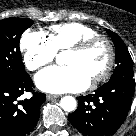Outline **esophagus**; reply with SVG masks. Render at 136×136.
Masks as SVG:
<instances>
[{
  "mask_svg": "<svg viewBox=\"0 0 136 136\" xmlns=\"http://www.w3.org/2000/svg\"><path fill=\"white\" fill-rule=\"evenodd\" d=\"M59 97H60L59 95H53V94H47L46 95V98L48 100L56 99V98H59Z\"/></svg>",
  "mask_w": 136,
  "mask_h": 136,
  "instance_id": "obj_1",
  "label": "esophagus"
}]
</instances>
